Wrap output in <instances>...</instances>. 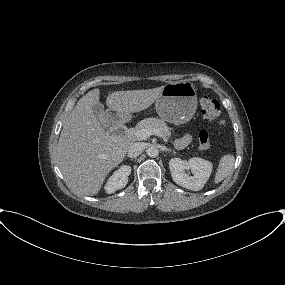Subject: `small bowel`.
I'll list each match as a JSON object with an SVG mask.
<instances>
[{"instance_id": "1", "label": "small bowel", "mask_w": 285, "mask_h": 285, "mask_svg": "<svg viewBox=\"0 0 285 285\" xmlns=\"http://www.w3.org/2000/svg\"><path fill=\"white\" fill-rule=\"evenodd\" d=\"M191 142V137L189 135H185L181 138L176 139L175 146L177 148H184Z\"/></svg>"}]
</instances>
